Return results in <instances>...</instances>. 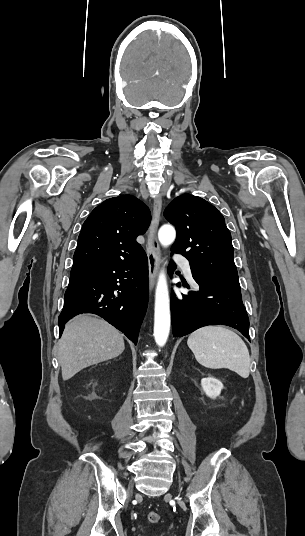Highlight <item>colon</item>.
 Instances as JSON below:
<instances>
[{
    "label": "colon",
    "mask_w": 305,
    "mask_h": 536,
    "mask_svg": "<svg viewBox=\"0 0 305 536\" xmlns=\"http://www.w3.org/2000/svg\"><path fill=\"white\" fill-rule=\"evenodd\" d=\"M149 523L156 524L160 521V516L156 512H150L147 516Z\"/></svg>",
    "instance_id": "1"
}]
</instances>
